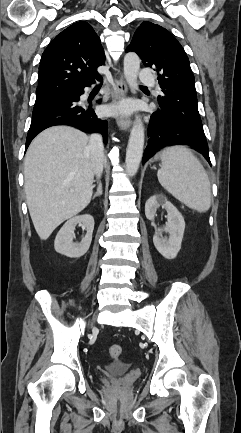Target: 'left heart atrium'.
I'll use <instances>...</instances> for the list:
<instances>
[{"mask_svg":"<svg viewBox=\"0 0 241 433\" xmlns=\"http://www.w3.org/2000/svg\"><path fill=\"white\" fill-rule=\"evenodd\" d=\"M128 108H129V106L127 104H125V103L120 104V105H118L116 107V109L119 110V111L127 110Z\"/></svg>","mask_w":241,"mask_h":433,"instance_id":"left-heart-atrium-1","label":"left heart atrium"}]
</instances>
